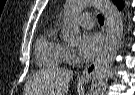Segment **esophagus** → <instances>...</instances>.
<instances>
[{
  "label": "esophagus",
  "instance_id": "esophagus-1",
  "mask_svg": "<svg viewBox=\"0 0 135 95\" xmlns=\"http://www.w3.org/2000/svg\"><path fill=\"white\" fill-rule=\"evenodd\" d=\"M97 61H98V57L95 59V61H93L92 63H90L84 70H83V73L82 75L80 76L79 80L80 81H89L93 74H94V71L96 69V66H97Z\"/></svg>",
  "mask_w": 135,
  "mask_h": 95
}]
</instances>
